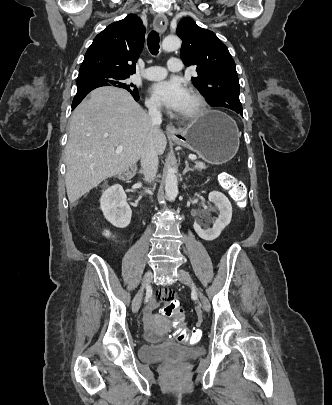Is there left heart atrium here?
<instances>
[{
  "label": "left heart atrium",
  "instance_id": "left-heart-atrium-1",
  "mask_svg": "<svg viewBox=\"0 0 332 405\" xmlns=\"http://www.w3.org/2000/svg\"><path fill=\"white\" fill-rule=\"evenodd\" d=\"M150 90L157 101L176 112L181 111L188 95L185 85L179 79L156 82Z\"/></svg>",
  "mask_w": 332,
  "mask_h": 405
}]
</instances>
